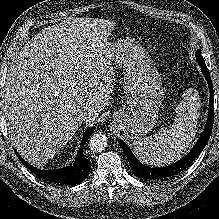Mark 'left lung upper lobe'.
<instances>
[{"instance_id":"5c2ea615","label":"left lung upper lobe","mask_w":219,"mask_h":219,"mask_svg":"<svg viewBox=\"0 0 219 219\" xmlns=\"http://www.w3.org/2000/svg\"><path fill=\"white\" fill-rule=\"evenodd\" d=\"M196 59H197V61H203V62H205L204 59H203V57H202V55H201L200 50H197V52H196Z\"/></svg>"}]
</instances>
